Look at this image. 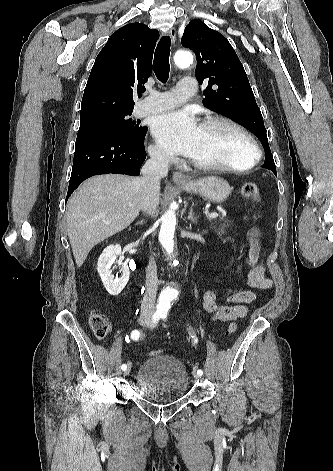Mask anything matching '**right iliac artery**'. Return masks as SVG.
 <instances>
[{
  "label": "right iliac artery",
  "instance_id": "obj_1",
  "mask_svg": "<svg viewBox=\"0 0 333 471\" xmlns=\"http://www.w3.org/2000/svg\"><path fill=\"white\" fill-rule=\"evenodd\" d=\"M160 319V313L156 312L154 315H153V323H156L158 322V320ZM141 337V333L139 330H133L132 333H131V338L133 340H138L139 338ZM127 368V365L126 364H122L121 366V369L122 370H126Z\"/></svg>",
  "mask_w": 333,
  "mask_h": 471
}]
</instances>
